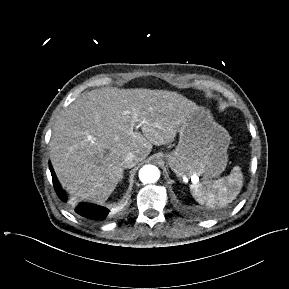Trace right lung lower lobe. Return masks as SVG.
I'll return each instance as SVG.
<instances>
[{
	"instance_id": "right-lung-lower-lobe-1",
	"label": "right lung lower lobe",
	"mask_w": 289,
	"mask_h": 289,
	"mask_svg": "<svg viewBox=\"0 0 289 289\" xmlns=\"http://www.w3.org/2000/svg\"><path fill=\"white\" fill-rule=\"evenodd\" d=\"M49 168L53 179L54 189L58 197L64 202L67 201V196L59 185L52 166L50 165ZM74 210L80 216L96 222L105 220L109 214V210L106 207L83 202L76 204Z\"/></svg>"
}]
</instances>
